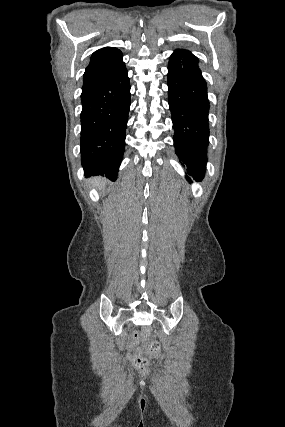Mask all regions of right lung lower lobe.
<instances>
[{"instance_id":"98d812e1","label":"right lung lower lobe","mask_w":285,"mask_h":427,"mask_svg":"<svg viewBox=\"0 0 285 427\" xmlns=\"http://www.w3.org/2000/svg\"><path fill=\"white\" fill-rule=\"evenodd\" d=\"M127 70L83 85L81 101V162L86 176L117 178L130 107Z\"/></svg>"}]
</instances>
